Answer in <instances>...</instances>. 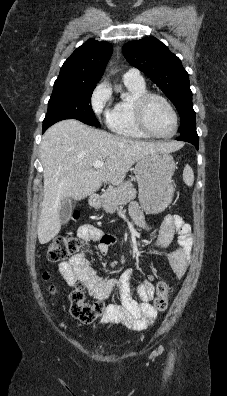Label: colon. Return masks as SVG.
Masks as SVG:
<instances>
[{
    "instance_id": "1",
    "label": "colon",
    "mask_w": 227,
    "mask_h": 396,
    "mask_svg": "<svg viewBox=\"0 0 227 396\" xmlns=\"http://www.w3.org/2000/svg\"><path fill=\"white\" fill-rule=\"evenodd\" d=\"M77 216V215H76ZM87 250V244L73 236H58L54 238L47 250V257L52 262L68 259L78 252ZM168 284L163 280H156V295L153 306L156 311L163 312L168 306ZM70 312L77 320L91 323L105 313L106 306L101 300L88 303L85 300L84 284L77 282L69 295Z\"/></svg>"
}]
</instances>
